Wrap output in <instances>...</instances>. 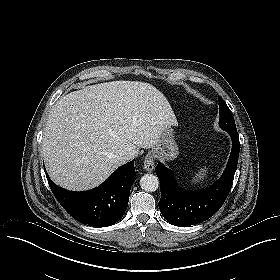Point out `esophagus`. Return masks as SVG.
I'll use <instances>...</instances> for the list:
<instances>
[{"label": "esophagus", "mask_w": 280, "mask_h": 280, "mask_svg": "<svg viewBox=\"0 0 280 280\" xmlns=\"http://www.w3.org/2000/svg\"><path fill=\"white\" fill-rule=\"evenodd\" d=\"M155 167V159L154 155L151 153H148L144 160V170L147 172H152Z\"/></svg>", "instance_id": "1"}]
</instances>
